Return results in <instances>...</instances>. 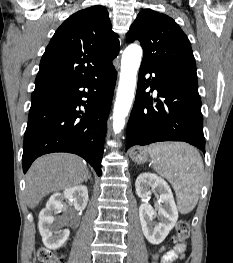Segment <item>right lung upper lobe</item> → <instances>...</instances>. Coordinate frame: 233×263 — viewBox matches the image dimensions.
<instances>
[{"label": "right lung upper lobe", "mask_w": 233, "mask_h": 263, "mask_svg": "<svg viewBox=\"0 0 233 263\" xmlns=\"http://www.w3.org/2000/svg\"><path fill=\"white\" fill-rule=\"evenodd\" d=\"M119 43L104 6L80 10L57 29L40 62L35 90L94 76L117 56Z\"/></svg>", "instance_id": "right-lung-upper-lobe-1"}]
</instances>
